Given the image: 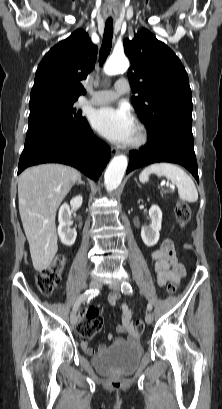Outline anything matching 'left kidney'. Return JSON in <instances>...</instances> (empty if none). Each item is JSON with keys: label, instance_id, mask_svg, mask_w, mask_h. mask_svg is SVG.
<instances>
[{"label": "left kidney", "instance_id": "left-kidney-1", "mask_svg": "<svg viewBox=\"0 0 222 409\" xmlns=\"http://www.w3.org/2000/svg\"><path fill=\"white\" fill-rule=\"evenodd\" d=\"M149 218L151 224L149 226H143L141 230V237L144 244L148 247L157 244L160 237L162 211L157 205H152L149 209Z\"/></svg>", "mask_w": 222, "mask_h": 409}]
</instances>
